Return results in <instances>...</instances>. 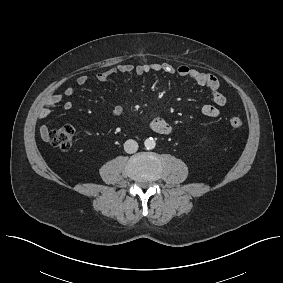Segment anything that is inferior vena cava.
Instances as JSON below:
<instances>
[{"label":"inferior vena cava","mask_w":283,"mask_h":283,"mask_svg":"<svg viewBox=\"0 0 283 283\" xmlns=\"http://www.w3.org/2000/svg\"><path fill=\"white\" fill-rule=\"evenodd\" d=\"M125 152L132 154L138 150V143L135 140L129 139L124 143Z\"/></svg>","instance_id":"obj_1"}]
</instances>
